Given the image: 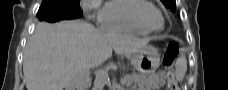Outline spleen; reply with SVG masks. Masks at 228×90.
<instances>
[{"mask_svg":"<svg viewBox=\"0 0 228 90\" xmlns=\"http://www.w3.org/2000/svg\"><path fill=\"white\" fill-rule=\"evenodd\" d=\"M187 71V60L181 56L176 61L175 77L177 81H182Z\"/></svg>","mask_w":228,"mask_h":90,"instance_id":"1","label":"spleen"}]
</instances>
